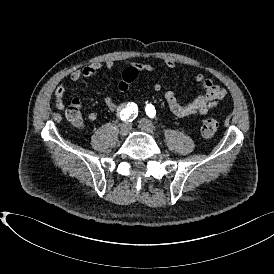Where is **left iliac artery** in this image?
Segmentation results:
<instances>
[{
  "label": "left iliac artery",
  "mask_w": 274,
  "mask_h": 274,
  "mask_svg": "<svg viewBox=\"0 0 274 274\" xmlns=\"http://www.w3.org/2000/svg\"><path fill=\"white\" fill-rule=\"evenodd\" d=\"M145 111H146V114L150 117V118H153L156 114V110L154 108V106L152 104H148L146 107H145Z\"/></svg>",
  "instance_id": "left-iliac-artery-1"
}]
</instances>
